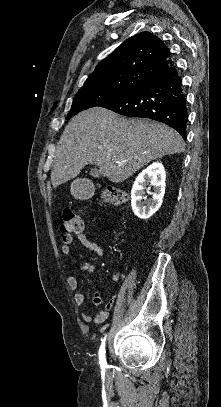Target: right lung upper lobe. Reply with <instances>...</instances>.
Masks as SVG:
<instances>
[{
    "instance_id": "1",
    "label": "right lung upper lobe",
    "mask_w": 221,
    "mask_h": 407,
    "mask_svg": "<svg viewBox=\"0 0 221 407\" xmlns=\"http://www.w3.org/2000/svg\"><path fill=\"white\" fill-rule=\"evenodd\" d=\"M171 63V54L163 41L150 32H141L101 61L82 89L140 85Z\"/></svg>"
}]
</instances>
